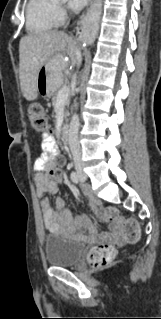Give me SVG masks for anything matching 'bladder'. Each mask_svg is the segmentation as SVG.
<instances>
[{"mask_svg": "<svg viewBox=\"0 0 161 319\" xmlns=\"http://www.w3.org/2000/svg\"><path fill=\"white\" fill-rule=\"evenodd\" d=\"M84 251V244L72 237L49 234L43 241L45 261L51 266L75 265L82 258Z\"/></svg>", "mask_w": 161, "mask_h": 319, "instance_id": "1", "label": "bladder"}]
</instances>
